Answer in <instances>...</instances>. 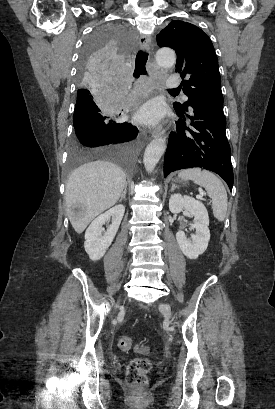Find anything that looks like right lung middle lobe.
I'll use <instances>...</instances> for the list:
<instances>
[{
    "mask_svg": "<svg viewBox=\"0 0 275 409\" xmlns=\"http://www.w3.org/2000/svg\"><path fill=\"white\" fill-rule=\"evenodd\" d=\"M134 50L129 30H122L121 24H98L84 43V57L75 71L79 90L65 178L72 176L74 167L103 161L137 171L142 139L138 129L127 123L128 97L112 94L126 91L123 51Z\"/></svg>",
    "mask_w": 275,
    "mask_h": 409,
    "instance_id": "1",
    "label": "right lung middle lobe"
}]
</instances>
